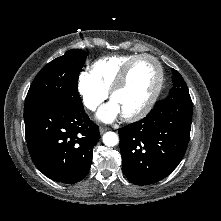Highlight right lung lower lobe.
<instances>
[{
  "mask_svg": "<svg viewBox=\"0 0 221 221\" xmlns=\"http://www.w3.org/2000/svg\"><path fill=\"white\" fill-rule=\"evenodd\" d=\"M24 121L30 156L45 176L74 184L88 174L100 133L83 107L50 103L25 111Z\"/></svg>",
  "mask_w": 221,
  "mask_h": 221,
  "instance_id": "1",
  "label": "right lung lower lobe"
}]
</instances>
